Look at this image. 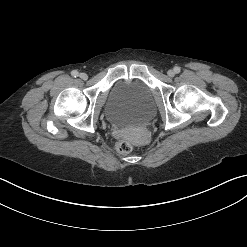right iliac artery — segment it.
<instances>
[{"instance_id": "obj_1", "label": "right iliac artery", "mask_w": 247, "mask_h": 247, "mask_svg": "<svg viewBox=\"0 0 247 247\" xmlns=\"http://www.w3.org/2000/svg\"><path fill=\"white\" fill-rule=\"evenodd\" d=\"M71 75H72L73 77H77V76H78V71L73 70V71L71 72Z\"/></svg>"}]
</instances>
